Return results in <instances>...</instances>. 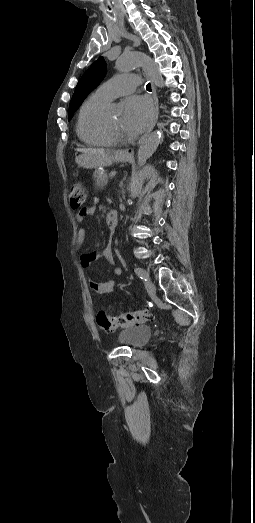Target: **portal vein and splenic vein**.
<instances>
[{"label": "portal vein and splenic vein", "instance_id": "obj_1", "mask_svg": "<svg viewBox=\"0 0 255 523\" xmlns=\"http://www.w3.org/2000/svg\"><path fill=\"white\" fill-rule=\"evenodd\" d=\"M114 176H116L115 171H112V173H109V178H114Z\"/></svg>", "mask_w": 255, "mask_h": 523}]
</instances>
